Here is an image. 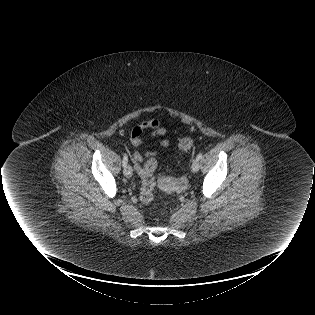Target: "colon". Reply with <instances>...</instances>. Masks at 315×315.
I'll return each mask as SVG.
<instances>
[{
	"label": "colon",
	"mask_w": 315,
	"mask_h": 315,
	"mask_svg": "<svg viewBox=\"0 0 315 315\" xmlns=\"http://www.w3.org/2000/svg\"><path fill=\"white\" fill-rule=\"evenodd\" d=\"M193 140L189 137L182 138L178 142V148L182 152H188L193 147ZM157 169V161L154 158H150L140 171V177L142 179V186L140 190V199L143 203H151L154 199L155 191V171ZM161 215H165L163 211Z\"/></svg>",
	"instance_id": "colon-1"
}]
</instances>
